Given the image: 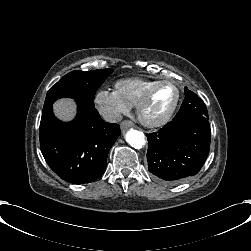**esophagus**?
Wrapping results in <instances>:
<instances>
[{"instance_id":"34e87169","label":"esophagus","mask_w":251,"mask_h":251,"mask_svg":"<svg viewBox=\"0 0 251 251\" xmlns=\"http://www.w3.org/2000/svg\"><path fill=\"white\" fill-rule=\"evenodd\" d=\"M120 125L122 129H128L133 127L134 123L131 120L126 119L125 121H122Z\"/></svg>"}]
</instances>
